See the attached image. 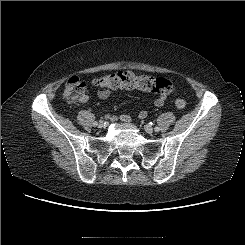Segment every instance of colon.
Masks as SVG:
<instances>
[{
	"mask_svg": "<svg viewBox=\"0 0 245 245\" xmlns=\"http://www.w3.org/2000/svg\"><path fill=\"white\" fill-rule=\"evenodd\" d=\"M94 85L100 90L113 91L118 89H138L141 91L154 92L166 96L175 92L172 81L148 75H137L130 71H121L108 74L94 80ZM85 83L77 76L68 79L64 87V97L69 102H80L85 97ZM175 106L178 109L186 107L184 99H177Z\"/></svg>",
	"mask_w": 245,
	"mask_h": 245,
	"instance_id": "colon-1",
	"label": "colon"
}]
</instances>
